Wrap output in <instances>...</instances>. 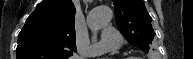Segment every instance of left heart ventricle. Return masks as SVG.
<instances>
[{
	"instance_id": "b2bd125f",
	"label": "left heart ventricle",
	"mask_w": 193,
	"mask_h": 59,
	"mask_svg": "<svg viewBox=\"0 0 193 59\" xmlns=\"http://www.w3.org/2000/svg\"><path fill=\"white\" fill-rule=\"evenodd\" d=\"M113 52L114 50L111 48H106L103 50V54H106V55L112 54Z\"/></svg>"
}]
</instances>
